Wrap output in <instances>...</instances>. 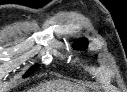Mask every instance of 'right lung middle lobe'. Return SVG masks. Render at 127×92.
Segmentation results:
<instances>
[{"label":"right lung middle lobe","instance_id":"obj_1","mask_svg":"<svg viewBox=\"0 0 127 92\" xmlns=\"http://www.w3.org/2000/svg\"><path fill=\"white\" fill-rule=\"evenodd\" d=\"M39 65L35 64L34 66H32L24 75V77L29 76L30 74H32L33 72H35L38 69Z\"/></svg>","mask_w":127,"mask_h":92}]
</instances>
